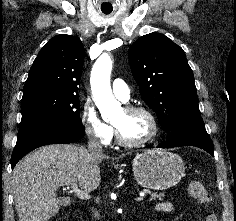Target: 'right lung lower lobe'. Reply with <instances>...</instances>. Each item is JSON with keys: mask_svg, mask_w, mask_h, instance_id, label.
I'll return each instance as SVG.
<instances>
[{"mask_svg": "<svg viewBox=\"0 0 236 221\" xmlns=\"http://www.w3.org/2000/svg\"><path fill=\"white\" fill-rule=\"evenodd\" d=\"M83 136V127L74 128L61 122L38 120L21 125L11 157L12 169L25 154L40 146L73 143Z\"/></svg>", "mask_w": 236, "mask_h": 221, "instance_id": "obj_1", "label": "right lung lower lobe"}]
</instances>
